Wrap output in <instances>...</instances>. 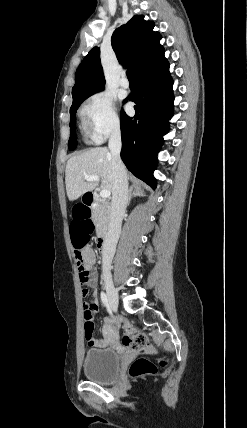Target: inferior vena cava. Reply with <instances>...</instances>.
I'll use <instances>...</instances> for the list:
<instances>
[{
	"label": "inferior vena cava",
	"instance_id": "602c4592",
	"mask_svg": "<svg viewBox=\"0 0 247 428\" xmlns=\"http://www.w3.org/2000/svg\"><path fill=\"white\" fill-rule=\"evenodd\" d=\"M108 146L112 156L113 189L109 228L102 249V266L106 270L111 268L121 232L122 219L128 203L127 172L120 157L122 142L119 125L113 128Z\"/></svg>",
	"mask_w": 247,
	"mask_h": 428
}]
</instances>
